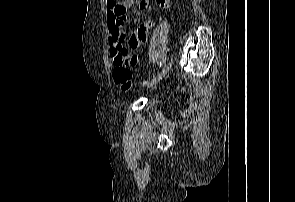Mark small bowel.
<instances>
[{"instance_id":"small-bowel-1","label":"small bowel","mask_w":295,"mask_h":202,"mask_svg":"<svg viewBox=\"0 0 295 202\" xmlns=\"http://www.w3.org/2000/svg\"><path fill=\"white\" fill-rule=\"evenodd\" d=\"M134 0H106L107 7V24H108V40L110 45V57L115 60L117 54H121L124 58H133V63L138 61V58L133 55V51L147 42L148 33L152 27L151 22H146L139 25L132 34L129 44L124 43L123 25L126 19V9L131 7ZM158 5L162 9L169 7V0H157ZM149 0H141L139 9L147 10Z\"/></svg>"}]
</instances>
